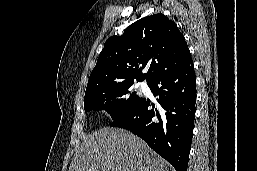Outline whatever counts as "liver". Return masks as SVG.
<instances>
[{
    "instance_id": "liver-1",
    "label": "liver",
    "mask_w": 257,
    "mask_h": 171,
    "mask_svg": "<svg viewBox=\"0 0 257 171\" xmlns=\"http://www.w3.org/2000/svg\"><path fill=\"white\" fill-rule=\"evenodd\" d=\"M69 171H168V168L141 138L120 128H103L84 138Z\"/></svg>"
}]
</instances>
